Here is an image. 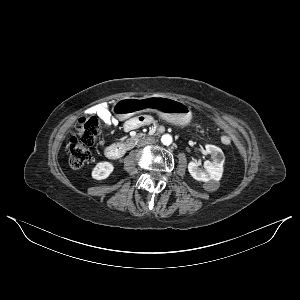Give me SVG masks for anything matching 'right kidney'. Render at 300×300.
Returning <instances> with one entry per match:
<instances>
[{
  "label": "right kidney",
  "instance_id": "1",
  "mask_svg": "<svg viewBox=\"0 0 300 300\" xmlns=\"http://www.w3.org/2000/svg\"><path fill=\"white\" fill-rule=\"evenodd\" d=\"M114 166L110 162H99L92 170V177L96 180H103L113 172Z\"/></svg>",
  "mask_w": 300,
  "mask_h": 300
}]
</instances>
